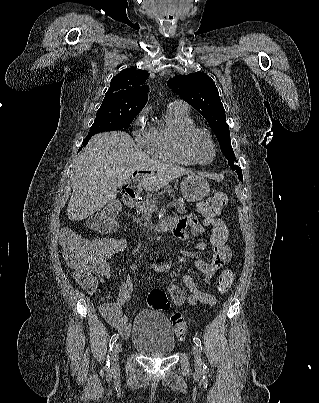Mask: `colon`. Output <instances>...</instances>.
<instances>
[{
	"mask_svg": "<svg viewBox=\"0 0 319 403\" xmlns=\"http://www.w3.org/2000/svg\"><path fill=\"white\" fill-rule=\"evenodd\" d=\"M226 196L217 193L208 198L203 205L202 213L208 219L211 230V246L225 247L226 243H232V222L226 218H216L224 204ZM112 208H106L105 212L91 217L89 225L100 234H89V241H85L72 230H65L62 234V244L65 255L77 264L74 277L77 282L88 292L94 291L97 285V272L95 264L100 258H124V249H127V240H123L122 234H112L117 230L116 217L118 210L123 209L122 201H113ZM234 280V273L224 270L217 282V291L225 293ZM147 303L155 310L165 311L170 308L167 294L162 289H154L147 296ZM170 320L174 332L178 338H182L187 331V324L178 311L170 314Z\"/></svg>",
	"mask_w": 319,
	"mask_h": 403,
	"instance_id": "obj_1",
	"label": "colon"
}]
</instances>
